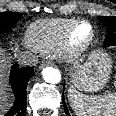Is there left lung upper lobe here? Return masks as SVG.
<instances>
[{
	"label": "left lung upper lobe",
	"instance_id": "1",
	"mask_svg": "<svg viewBox=\"0 0 116 116\" xmlns=\"http://www.w3.org/2000/svg\"><path fill=\"white\" fill-rule=\"evenodd\" d=\"M100 20L107 28V36L104 41V46L116 45V17H103L99 16Z\"/></svg>",
	"mask_w": 116,
	"mask_h": 116
}]
</instances>
